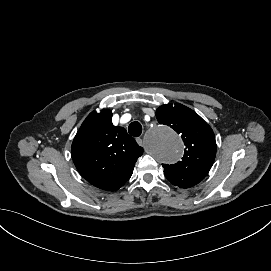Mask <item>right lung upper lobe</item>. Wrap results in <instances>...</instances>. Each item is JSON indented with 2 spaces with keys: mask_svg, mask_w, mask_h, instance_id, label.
I'll use <instances>...</instances> for the list:
<instances>
[{
  "mask_svg": "<svg viewBox=\"0 0 271 271\" xmlns=\"http://www.w3.org/2000/svg\"><path fill=\"white\" fill-rule=\"evenodd\" d=\"M112 112H91L77 132L71 147L80 174L100 189L115 191L131 177L143 153L123 127L112 124Z\"/></svg>",
  "mask_w": 271,
  "mask_h": 271,
  "instance_id": "1",
  "label": "right lung upper lobe"
}]
</instances>
